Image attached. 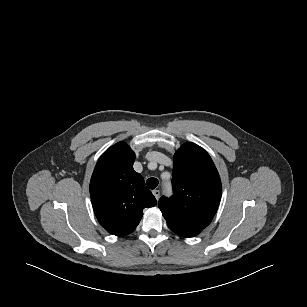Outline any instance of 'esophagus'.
<instances>
[{
    "label": "esophagus",
    "instance_id": "obj_1",
    "mask_svg": "<svg viewBox=\"0 0 307 307\" xmlns=\"http://www.w3.org/2000/svg\"><path fill=\"white\" fill-rule=\"evenodd\" d=\"M152 193L155 196V198L158 200L159 197H160V191L159 190H153Z\"/></svg>",
    "mask_w": 307,
    "mask_h": 307
}]
</instances>
